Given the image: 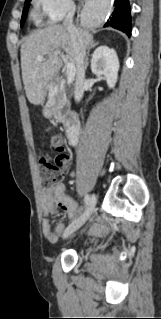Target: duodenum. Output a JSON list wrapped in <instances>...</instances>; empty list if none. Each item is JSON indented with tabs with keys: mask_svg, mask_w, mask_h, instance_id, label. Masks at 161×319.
I'll return each mask as SVG.
<instances>
[{
	"mask_svg": "<svg viewBox=\"0 0 161 319\" xmlns=\"http://www.w3.org/2000/svg\"><path fill=\"white\" fill-rule=\"evenodd\" d=\"M51 105L48 103L43 104L44 110L48 113L50 110ZM80 134V124L76 116H72L71 119H69L66 122V137L68 140V143L70 145H75L78 142Z\"/></svg>",
	"mask_w": 161,
	"mask_h": 319,
	"instance_id": "obj_1",
	"label": "duodenum"
}]
</instances>
